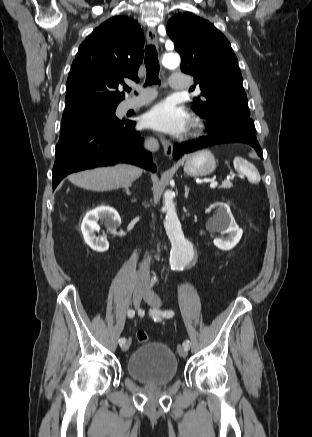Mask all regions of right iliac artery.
I'll list each match as a JSON object with an SVG mask.
<instances>
[{
  "instance_id": "obj_1",
  "label": "right iliac artery",
  "mask_w": 312,
  "mask_h": 437,
  "mask_svg": "<svg viewBox=\"0 0 312 437\" xmlns=\"http://www.w3.org/2000/svg\"><path fill=\"white\" fill-rule=\"evenodd\" d=\"M127 314H128V317L133 318L134 315H135V311L132 310V309H130V310H128V313H127ZM125 341H126L125 338H120V339H119V343H120V345H123V344L125 343Z\"/></svg>"
}]
</instances>
